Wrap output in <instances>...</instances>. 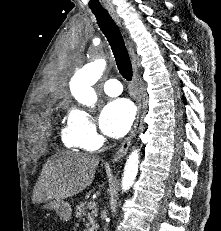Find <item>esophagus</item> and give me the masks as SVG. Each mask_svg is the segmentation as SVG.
Listing matches in <instances>:
<instances>
[{
  "mask_svg": "<svg viewBox=\"0 0 221 231\" xmlns=\"http://www.w3.org/2000/svg\"><path fill=\"white\" fill-rule=\"evenodd\" d=\"M111 15L114 18V20L120 24V21L117 17V15L115 14L114 11H111ZM128 43V48H129V53L131 56V60H132V67H133V88H134V98L137 104V115H136V119L134 122V125L132 127V130L129 134L128 137L125 138V140L123 141L122 145L120 146V148L118 149V151L115 153L114 157H113V162H118L120 159H122L128 149L129 146L131 144V141L135 135L137 126H138V122H139V118L141 115V109H142V104H141V95H140V89H139V76H138V62H137V56L134 52V48L131 44L130 41H127Z\"/></svg>",
  "mask_w": 221,
  "mask_h": 231,
  "instance_id": "obj_1",
  "label": "esophagus"
}]
</instances>
